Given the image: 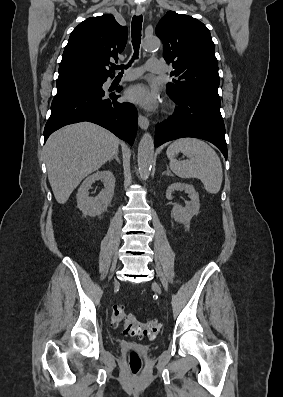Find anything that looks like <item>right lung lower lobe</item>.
Masks as SVG:
<instances>
[{
    "label": "right lung lower lobe",
    "mask_w": 283,
    "mask_h": 397,
    "mask_svg": "<svg viewBox=\"0 0 283 397\" xmlns=\"http://www.w3.org/2000/svg\"><path fill=\"white\" fill-rule=\"evenodd\" d=\"M118 98L115 94L107 96L102 85L77 86L58 91L44 129V142L51 133L65 125L89 121L110 130L132 145L137 132V111L131 103L118 102Z\"/></svg>",
    "instance_id": "1"
}]
</instances>
